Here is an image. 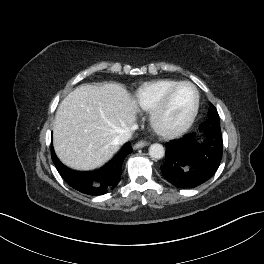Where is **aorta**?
I'll use <instances>...</instances> for the list:
<instances>
[{
    "mask_svg": "<svg viewBox=\"0 0 264 264\" xmlns=\"http://www.w3.org/2000/svg\"><path fill=\"white\" fill-rule=\"evenodd\" d=\"M149 155L153 159H161L165 155V149L163 145L159 143H154L149 147Z\"/></svg>",
    "mask_w": 264,
    "mask_h": 264,
    "instance_id": "762f6f07",
    "label": "aorta"
}]
</instances>
